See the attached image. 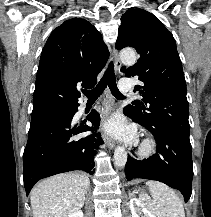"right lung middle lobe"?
Listing matches in <instances>:
<instances>
[{"instance_id": "dd1d6c3e", "label": "right lung middle lobe", "mask_w": 211, "mask_h": 217, "mask_svg": "<svg viewBox=\"0 0 211 217\" xmlns=\"http://www.w3.org/2000/svg\"><path fill=\"white\" fill-rule=\"evenodd\" d=\"M66 115H68V110L50 113V114L43 116L39 119H46V118H52V117H62V116H66Z\"/></svg>"}]
</instances>
